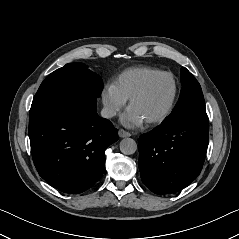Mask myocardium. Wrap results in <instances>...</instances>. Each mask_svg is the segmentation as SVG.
Returning a JSON list of instances; mask_svg holds the SVG:
<instances>
[{"label":"myocardium","mask_w":239,"mask_h":239,"mask_svg":"<svg viewBox=\"0 0 239 239\" xmlns=\"http://www.w3.org/2000/svg\"><path fill=\"white\" fill-rule=\"evenodd\" d=\"M166 76L168 78H170V80L172 81V85H173V91H172V95L170 98L169 103L167 104L166 108L159 113L158 115L151 117L147 120H145L146 123L148 124H153V123H158L163 121L165 118H167L169 116V114L171 113L175 101H176V97H177V93H178V86H177V82L175 80V78L173 77V75L169 72H165V71H159L158 73L152 75L151 77H149L129 98L128 100V105L129 107L137 100L139 99L146 91L147 89L150 87V85L157 80L160 77Z\"/></svg>","instance_id":"1"}]
</instances>
